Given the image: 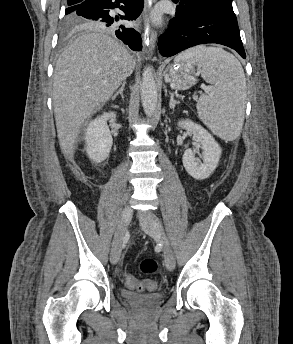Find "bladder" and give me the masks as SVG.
Instances as JSON below:
<instances>
[{"instance_id":"bladder-1","label":"bladder","mask_w":293,"mask_h":344,"mask_svg":"<svg viewBox=\"0 0 293 344\" xmlns=\"http://www.w3.org/2000/svg\"><path fill=\"white\" fill-rule=\"evenodd\" d=\"M121 296L126 301L148 306L155 305L163 299L161 293L140 294L127 289L121 290Z\"/></svg>"}]
</instances>
